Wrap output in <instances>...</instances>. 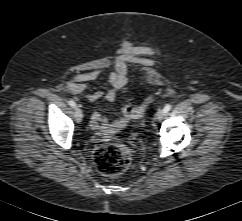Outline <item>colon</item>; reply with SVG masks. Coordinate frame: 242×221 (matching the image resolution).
<instances>
[{"mask_svg": "<svg viewBox=\"0 0 242 221\" xmlns=\"http://www.w3.org/2000/svg\"><path fill=\"white\" fill-rule=\"evenodd\" d=\"M153 98L149 97L143 104L137 107L126 106L123 113L127 118L142 116ZM130 150L119 143L101 144L95 151V164L98 171L107 177H118L124 174L132 164Z\"/></svg>", "mask_w": 242, "mask_h": 221, "instance_id": "1", "label": "colon"}]
</instances>
